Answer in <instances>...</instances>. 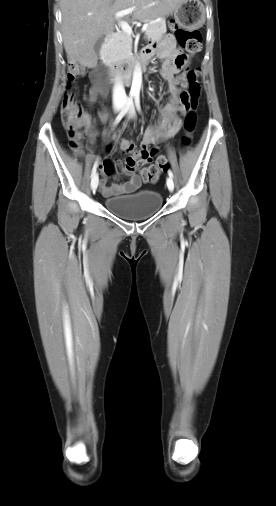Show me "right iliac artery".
<instances>
[{"label":"right iliac artery","instance_id":"right-iliac-artery-1","mask_svg":"<svg viewBox=\"0 0 276 506\" xmlns=\"http://www.w3.org/2000/svg\"><path fill=\"white\" fill-rule=\"evenodd\" d=\"M133 96H134L133 94H130V96H129L127 102H126L125 107L117 115V117L115 119V122H114V125L118 124L121 121V119L123 118V116L126 114V112L128 111V109L130 107V104L132 103ZM96 169H97V161L95 162V164L93 166L91 177H94L96 175Z\"/></svg>","mask_w":276,"mask_h":506}]
</instances>
